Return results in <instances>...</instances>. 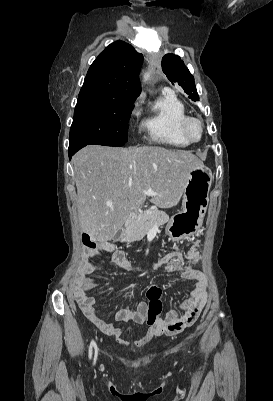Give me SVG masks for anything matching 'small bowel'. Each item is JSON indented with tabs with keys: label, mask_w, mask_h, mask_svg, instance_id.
<instances>
[{
	"label": "small bowel",
	"mask_w": 273,
	"mask_h": 401,
	"mask_svg": "<svg viewBox=\"0 0 273 401\" xmlns=\"http://www.w3.org/2000/svg\"><path fill=\"white\" fill-rule=\"evenodd\" d=\"M85 245H94L95 247L94 259L82 260L92 262L93 267L88 271L93 272L98 263L106 258L110 260L114 270H134V265L127 257L126 252L118 249L114 243L85 242ZM198 248L199 242L188 249L175 248L152 262V266H161L167 272L179 273L183 281L195 282V287L176 309L170 310L164 317H160L149 327L146 339L142 342L132 344L122 339L121 328L114 322H108L100 317L96 310L97 301L95 302L93 290H76L74 293L75 302L79 304L82 313L93 325L104 334L115 338L117 343L125 348L141 349L156 337L176 334L196 321L209 297L205 276L200 270L192 267V264L200 258ZM97 285H102V280H97ZM147 308V303L142 301L134 305L123 303L121 307L115 310V321L144 324Z\"/></svg>",
	"instance_id": "obj_1"
}]
</instances>
